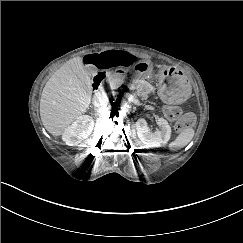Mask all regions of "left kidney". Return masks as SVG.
<instances>
[{"label":"left kidney","mask_w":243,"mask_h":243,"mask_svg":"<svg viewBox=\"0 0 243 243\" xmlns=\"http://www.w3.org/2000/svg\"><path fill=\"white\" fill-rule=\"evenodd\" d=\"M157 124L161 127V130L149 134L147 122L145 120L139 119L136 122L137 135L141 142L148 148L161 147L167 144L171 137V128L166 119L162 117L159 118Z\"/></svg>","instance_id":"obj_1"}]
</instances>
